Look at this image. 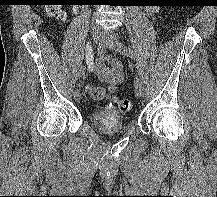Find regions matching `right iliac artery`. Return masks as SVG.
Returning <instances> with one entry per match:
<instances>
[{"instance_id": "82829eb1", "label": "right iliac artery", "mask_w": 217, "mask_h": 197, "mask_svg": "<svg viewBox=\"0 0 217 197\" xmlns=\"http://www.w3.org/2000/svg\"><path fill=\"white\" fill-rule=\"evenodd\" d=\"M102 47H103V44L101 42H99L98 46H97V52H99ZM84 74H85V68H81L79 70V72L77 73V79L79 80V82L82 79V77L84 76ZM78 85L80 86V83Z\"/></svg>"}]
</instances>
